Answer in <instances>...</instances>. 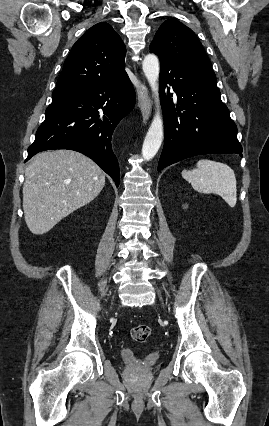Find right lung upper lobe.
Masks as SVG:
<instances>
[{
	"instance_id": "cb5924a9",
	"label": "right lung upper lobe",
	"mask_w": 269,
	"mask_h": 426,
	"mask_svg": "<svg viewBox=\"0 0 269 426\" xmlns=\"http://www.w3.org/2000/svg\"><path fill=\"white\" fill-rule=\"evenodd\" d=\"M126 47L106 22L88 29L73 45L53 92L112 82L125 72Z\"/></svg>"
}]
</instances>
